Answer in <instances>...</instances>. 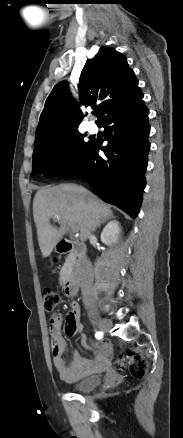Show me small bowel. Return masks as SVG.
<instances>
[{"instance_id": "obj_1", "label": "small bowel", "mask_w": 183, "mask_h": 438, "mask_svg": "<svg viewBox=\"0 0 183 438\" xmlns=\"http://www.w3.org/2000/svg\"><path fill=\"white\" fill-rule=\"evenodd\" d=\"M63 317L61 314L52 316L49 324V331L52 343L53 365L61 380L65 382H74L83 377L100 372L105 368V355L108 352L109 345L103 343L99 349L95 361H90L83 357L78 351L73 355L72 362L67 365L63 359L66 351V341L61 333ZM66 326H73L74 333L81 335V344L88 349H95V345L89 344L86 335L83 333V325L80 321V306L77 302L70 305V310L65 318Z\"/></svg>"}]
</instances>
